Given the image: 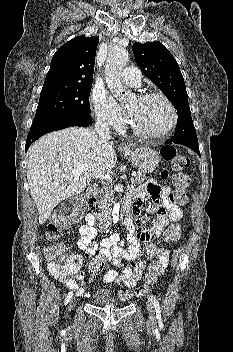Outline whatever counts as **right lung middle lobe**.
<instances>
[{"label": "right lung middle lobe", "instance_id": "dd1d6c3e", "mask_svg": "<svg viewBox=\"0 0 233 352\" xmlns=\"http://www.w3.org/2000/svg\"><path fill=\"white\" fill-rule=\"evenodd\" d=\"M92 85L43 87L33 122L69 115H89Z\"/></svg>", "mask_w": 233, "mask_h": 352}]
</instances>
